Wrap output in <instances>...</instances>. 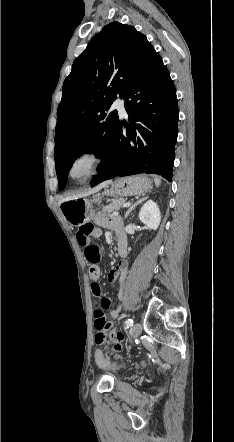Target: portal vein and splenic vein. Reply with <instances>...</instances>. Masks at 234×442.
Segmentation results:
<instances>
[{"label":"portal vein and splenic vein","instance_id":"1","mask_svg":"<svg viewBox=\"0 0 234 442\" xmlns=\"http://www.w3.org/2000/svg\"><path fill=\"white\" fill-rule=\"evenodd\" d=\"M128 206H130V203H124L123 204V207H128Z\"/></svg>","mask_w":234,"mask_h":442}]
</instances>
